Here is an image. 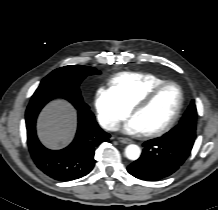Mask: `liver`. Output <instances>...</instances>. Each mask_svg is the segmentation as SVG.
Returning <instances> with one entry per match:
<instances>
[{"label": "liver", "instance_id": "1", "mask_svg": "<svg viewBox=\"0 0 218 210\" xmlns=\"http://www.w3.org/2000/svg\"><path fill=\"white\" fill-rule=\"evenodd\" d=\"M38 136L49 148L67 145L76 130V113L64 100L49 103L41 112L37 123Z\"/></svg>", "mask_w": 218, "mask_h": 210}]
</instances>
